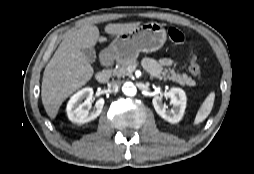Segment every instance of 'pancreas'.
<instances>
[{
  "instance_id": "obj_1",
  "label": "pancreas",
  "mask_w": 254,
  "mask_h": 174,
  "mask_svg": "<svg viewBox=\"0 0 254 174\" xmlns=\"http://www.w3.org/2000/svg\"><path fill=\"white\" fill-rule=\"evenodd\" d=\"M138 65V62L136 59H123L117 61V65L114 69L108 70L110 74L116 77H124V76H132V70L129 71L128 68L136 67ZM158 79L160 80H172L173 82H176L182 86L188 85V86H194L195 81L188 77L187 74L183 73L180 74L178 72H175L173 69H164L161 73V75L158 76Z\"/></svg>"
}]
</instances>
